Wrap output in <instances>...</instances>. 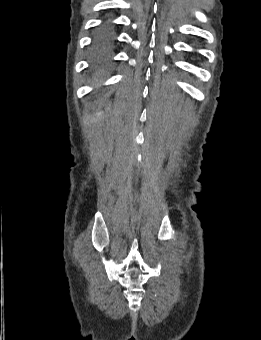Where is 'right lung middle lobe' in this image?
<instances>
[{
    "label": "right lung middle lobe",
    "instance_id": "1",
    "mask_svg": "<svg viewBox=\"0 0 261 340\" xmlns=\"http://www.w3.org/2000/svg\"><path fill=\"white\" fill-rule=\"evenodd\" d=\"M113 36V29L111 23L102 24L96 32L95 40L98 43L108 41Z\"/></svg>",
    "mask_w": 261,
    "mask_h": 340
}]
</instances>
